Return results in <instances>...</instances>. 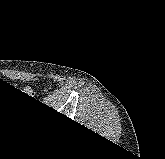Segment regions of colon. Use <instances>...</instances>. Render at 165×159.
<instances>
[{
	"mask_svg": "<svg viewBox=\"0 0 165 159\" xmlns=\"http://www.w3.org/2000/svg\"><path fill=\"white\" fill-rule=\"evenodd\" d=\"M21 95L27 98H31L33 96V92L31 89L26 88L23 91H21Z\"/></svg>",
	"mask_w": 165,
	"mask_h": 159,
	"instance_id": "obj_1",
	"label": "colon"
}]
</instances>
